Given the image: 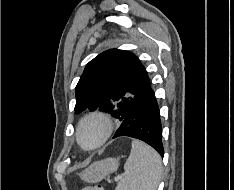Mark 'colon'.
<instances>
[{
    "label": "colon",
    "mask_w": 234,
    "mask_h": 190,
    "mask_svg": "<svg viewBox=\"0 0 234 190\" xmlns=\"http://www.w3.org/2000/svg\"><path fill=\"white\" fill-rule=\"evenodd\" d=\"M81 190H105V189L101 185H96V186L86 187V188H83Z\"/></svg>",
    "instance_id": "colon-1"
}]
</instances>
